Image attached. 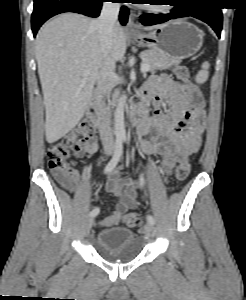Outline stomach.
I'll return each instance as SVG.
<instances>
[{"label":"stomach","mask_w":246,"mask_h":300,"mask_svg":"<svg viewBox=\"0 0 246 300\" xmlns=\"http://www.w3.org/2000/svg\"><path fill=\"white\" fill-rule=\"evenodd\" d=\"M135 41L144 48L162 53L165 57L181 61L196 54L203 44L202 31L183 20L170 21L149 33H139Z\"/></svg>","instance_id":"0dacf381"}]
</instances>
